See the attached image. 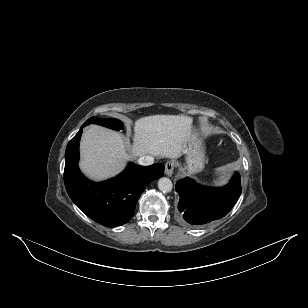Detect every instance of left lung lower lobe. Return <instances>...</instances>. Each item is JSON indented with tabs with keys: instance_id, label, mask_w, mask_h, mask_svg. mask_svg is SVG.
Listing matches in <instances>:
<instances>
[{
	"instance_id": "0a47b994",
	"label": "left lung lower lobe",
	"mask_w": 308,
	"mask_h": 308,
	"mask_svg": "<svg viewBox=\"0 0 308 308\" xmlns=\"http://www.w3.org/2000/svg\"><path fill=\"white\" fill-rule=\"evenodd\" d=\"M240 175L235 173L222 188H210L185 178L176 183L180 196L178 210L191 225H202L224 217L235 205L241 194Z\"/></svg>"
}]
</instances>
